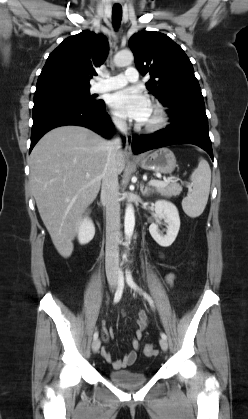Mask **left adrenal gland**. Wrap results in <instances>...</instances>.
Segmentation results:
<instances>
[{
  "label": "left adrenal gland",
  "instance_id": "1",
  "mask_svg": "<svg viewBox=\"0 0 248 419\" xmlns=\"http://www.w3.org/2000/svg\"><path fill=\"white\" fill-rule=\"evenodd\" d=\"M140 191L143 195L149 194L151 192H153V190L150 187H145L144 184H140Z\"/></svg>",
  "mask_w": 248,
  "mask_h": 419
}]
</instances>
